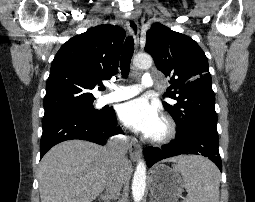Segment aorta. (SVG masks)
<instances>
[{"instance_id":"obj_1","label":"aorta","mask_w":255,"mask_h":202,"mask_svg":"<svg viewBox=\"0 0 255 202\" xmlns=\"http://www.w3.org/2000/svg\"><path fill=\"white\" fill-rule=\"evenodd\" d=\"M135 67L140 69H149L153 60L150 55L138 54L133 59ZM146 189V163L140 160L136 166L133 181H132V195L135 202H140L144 196Z\"/></svg>"}]
</instances>
